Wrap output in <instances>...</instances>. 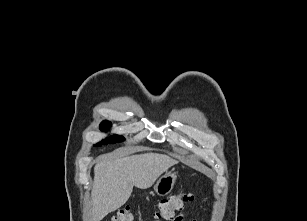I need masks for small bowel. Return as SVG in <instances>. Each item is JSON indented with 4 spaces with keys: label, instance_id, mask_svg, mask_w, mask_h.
<instances>
[{
    "label": "small bowel",
    "instance_id": "c3829d8e",
    "mask_svg": "<svg viewBox=\"0 0 307 221\" xmlns=\"http://www.w3.org/2000/svg\"><path fill=\"white\" fill-rule=\"evenodd\" d=\"M172 221H185L184 215L182 213L175 215L172 219Z\"/></svg>",
    "mask_w": 307,
    "mask_h": 221
}]
</instances>
